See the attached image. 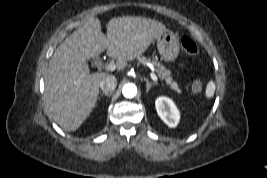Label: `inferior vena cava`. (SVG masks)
<instances>
[{
  "label": "inferior vena cava",
  "instance_id": "inferior-vena-cava-1",
  "mask_svg": "<svg viewBox=\"0 0 267 178\" xmlns=\"http://www.w3.org/2000/svg\"><path fill=\"white\" fill-rule=\"evenodd\" d=\"M99 86L103 92L112 93L117 86V79L113 75H108L101 80Z\"/></svg>",
  "mask_w": 267,
  "mask_h": 178
}]
</instances>
